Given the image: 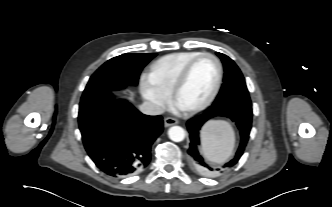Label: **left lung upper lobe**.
Returning a JSON list of instances; mask_svg holds the SVG:
<instances>
[{"mask_svg": "<svg viewBox=\"0 0 332 207\" xmlns=\"http://www.w3.org/2000/svg\"><path fill=\"white\" fill-rule=\"evenodd\" d=\"M217 55L223 62L225 74L224 83L213 104L234 99L250 101L245 79L238 66L228 56L219 52Z\"/></svg>", "mask_w": 332, "mask_h": 207, "instance_id": "1", "label": "left lung upper lobe"}]
</instances>
